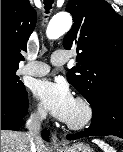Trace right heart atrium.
<instances>
[{
  "label": "right heart atrium",
  "instance_id": "obj_1",
  "mask_svg": "<svg viewBox=\"0 0 123 152\" xmlns=\"http://www.w3.org/2000/svg\"><path fill=\"white\" fill-rule=\"evenodd\" d=\"M46 116V112L43 108L37 107L32 111V117L36 120H42Z\"/></svg>",
  "mask_w": 123,
  "mask_h": 152
}]
</instances>
